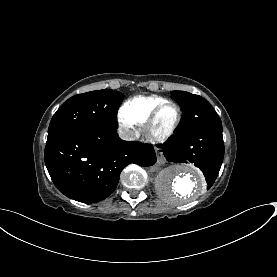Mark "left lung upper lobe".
<instances>
[{"label": "left lung upper lobe", "mask_w": 277, "mask_h": 277, "mask_svg": "<svg viewBox=\"0 0 277 277\" xmlns=\"http://www.w3.org/2000/svg\"><path fill=\"white\" fill-rule=\"evenodd\" d=\"M171 97L180 105L183 113V122L178 133L222 125L215 110L203 97L185 91H172Z\"/></svg>", "instance_id": "left-lung-upper-lobe-1"}]
</instances>
